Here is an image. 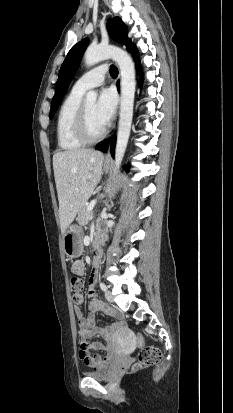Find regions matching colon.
<instances>
[{
  "label": "colon",
  "instance_id": "1",
  "mask_svg": "<svg viewBox=\"0 0 233 413\" xmlns=\"http://www.w3.org/2000/svg\"><path fill=\"white\" fill-rule=\"evenodd\" d=\"M70 287L73 294L79 293L83 288V280L79 276H70ZM140 352L138 362L133 366L138 369L143 366H150L158 363L162 358L160 349L154 346H144L142 340L139 341Z\"/></svg>",
  "mask_w": 233,
  "mask_h": 413
}]
</instances>
